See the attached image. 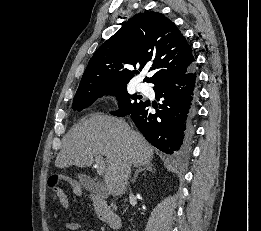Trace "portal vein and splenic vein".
<instances>
[{"mask_svg":"<svg viewBox=\"0 0 261 231\" xmlns=\"http://www.w3.org/2000/svg\"><path fill=\"white\" fill-rule=\"evenodd\" d=\"M95 159L97 163V172L101 176L104 174L106 163L101 155H97Z\"/></svg>","mask_w":261,"mask_h":231,"instance_id":"portal-vein-and-splenic-vein-1","label":"portal vein and splenic vein"}]
</instances>
